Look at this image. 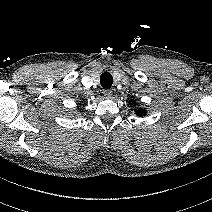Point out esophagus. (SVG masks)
<instances>
[{
    "label": "esophagus",
    "instance_id": "obj_1",
    "mask_svg": "<svg viewBox=\"0 0 212 212\" xmlns=\"http://www.w3.org/2000/svg\"><path fill=\"white\" fill-rule=\"evenodd\" d=\"M102 93L106 98H111V96H112V90L111 89H104L102 91Z\"/></svg>",
    "mask_w": 212,
    "mask_h": 212
}]
</instances>
